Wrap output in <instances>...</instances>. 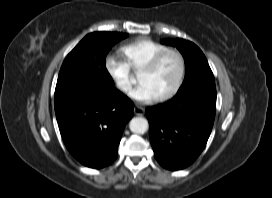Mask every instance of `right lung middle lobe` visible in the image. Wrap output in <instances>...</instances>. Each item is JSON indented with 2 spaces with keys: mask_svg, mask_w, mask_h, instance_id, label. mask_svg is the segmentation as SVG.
<instances>
[{
  "mask_svg": "<svg viewBox=\"0 0 272 198\" xmlns=\"http://www.w3.org/2000/svg\"><path fill=\"white\" fill-rule=\"evenodd\" d=\"M128 34L94 32L86 35L65 58L57 80L55 98L81 89L108 91L114 88L105 66L112 46Z\"/></svg>",
  "mask_w": 272,
  "mask_h": 198,
  "instance_id": "1",
  "label": "right lung middle lobe"
}]
</instances>
